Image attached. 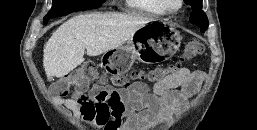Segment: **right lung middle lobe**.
Returning <instances> with one entry per match:
<instances>
[{"label": "right lung middle lobe", "instance_id": "obj_1", "mask_svg": "<svg viewBox=\"0 0 257 130\" xmlns=\"http://www.w3.org/2000/svg\"><path fill=\"white\" fill-rule=\"evenodd\" d=\"M105 0H53L52 8L44 17L46 24L54 16H62L74 11L87 10L99 7Z\"/></svg>", "mask_w": 257, "mask_h": 130}]
</instances>
